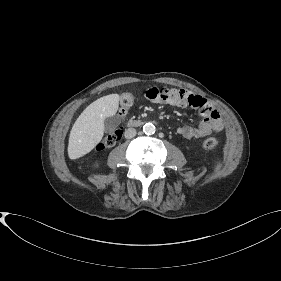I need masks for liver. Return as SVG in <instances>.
<instances>
[{
  "mask_svg": "<svg viewBox=\"0 0 281 281\" xmlns=\"http://www.w3.org/2000/svg\"><path fill=\"white\" fill-rule=\"evenodd\" d=\"M119 100L118 94L106 95L84 109L70 131L68 156L71 160L86 155L101 141L104 120L116 114Z\"/></svg>",
  "mask_w": 281,
  "mask_h": 281,
  "instance_id": "liver-1",
  "label": "liver"
}]
</instances>
